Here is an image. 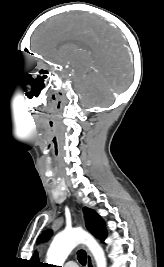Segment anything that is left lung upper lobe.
Segmentation results:
<instances>
[{
    "label": "left lung upper lobe",
    "mask_w": 164,
    "mask_h": 267,
    "mask_svg": "<svg viewBox=\"0 0 164 267\" xmlns=\"http://www.w3.org/2000/svg\"><path fill=\"white\" fill-rule=\"evenodd\" d=\"M84 212V218H85V224L87 229L98 239L104 240L106 237V229H105V223L103 219L92 209H89L87 207L83 208ZM52 235L51 230L44 231L38 241H44L50 238Z\"/></svg>",
    "instance_id": "1"
}]
</instances>
